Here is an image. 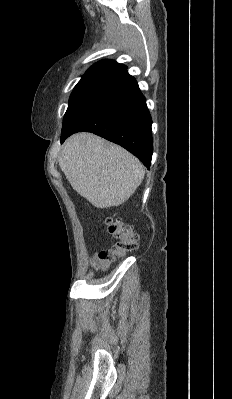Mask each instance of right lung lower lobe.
I'll use <instances>...</instances> for the list:
<instances>
[{"label": "right lung lower lobe", "instance_id": "right-lung-lower-lobe-1", "mask_svg": "<svg viewBox=\"0 0 232 399\" xmlns=\"http://www.w3.org/2000/svg\"><path fill=\"white\" fill-rule=\"evenodd\" d=\"M151 125L145 97L135 78L124 71L69 100L61 143L74 133L92 132L121 145L149 169L153 153Z\"/></svg>", "mask_w": 232, "mask_h": 399}]
</instances>
